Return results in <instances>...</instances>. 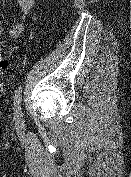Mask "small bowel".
I'll return each mask as SVG.
<instances>
[{"mask_svg": "<svg viewBox=\"0 0 131 177\" xmlns=\"http://www.w3.org/2000/svg\"><path fill=\"white\" fill-rule=\"evenodd\" d=\"M21 9V20L17 22L8 32L11 38H18L25 32L26 20L36 4V0H17ZM5 34L4 29L0 26V37Z\"/></svg>", "mask_w": 131, "mask_h": 177, "instance_id": "obj_1", "label": "small bowel"}]
</instances>
